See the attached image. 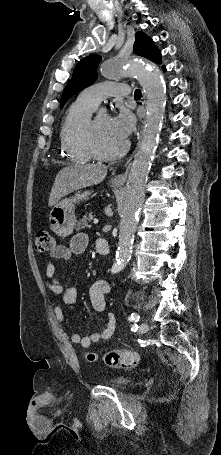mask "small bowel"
<instances>
[{
	"label": "small bowel",
	"instance_id": "obj_1",
	"mask_svg": "<svg viewBox=\"0 0 221 455\" xmlns=\"http://www.w3.org/2000/svg\"><path fill=\"white\" fill-rule=\"evenodd\" d=\"M89 239L86 234L78 233L74 235L68 246L58 245L51 251L50 256L52 259L64 260L70 262L76 255H80L87 249ZM67 279L59 280L55 276V266L52 261L46 263V279L45 286L55 295H57L61 302L65 305H72L76 301L77 291L75 287L65 285ZM110 293V285L106 280L100 279L95 281L89 291L90 301L93 309L99 313H103L105 317V327L93 332L87 336L81 337L78 333L73 332L70 335L72 343L80 345L82 348H89L93 343L111 338L116 329V318L110 313L106 312V297ZM55 318L62 322L64 314L62 308L56 305L53 309Z\"/></svg>",
	"mask_w": 221,
	"mask_h": 455
}]
</instances>
